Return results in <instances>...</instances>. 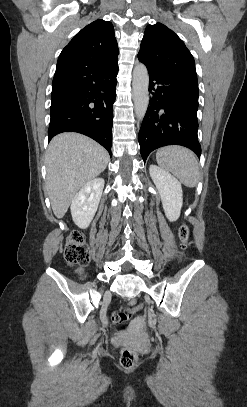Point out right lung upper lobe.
<instances>
[{
	"instance_id": "1",
	"label": "right lung upper lobe",
	"mask_w": 247,
	"mask_h": 407,
	"mask_svg": "<svg viewBox=\"0 0 247 407\" xmlns=\"http://www.w3.org/2000/svg\"><path fill=\"white\" fill-rule=\"evenodd\" d=\"M118 54L112 23L92 22L75 35L59 55L52 92L70 89L93 72L116 64Z\"/></svg>"
}]
</instances>
